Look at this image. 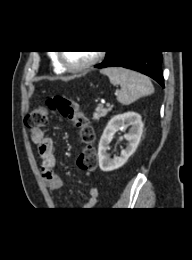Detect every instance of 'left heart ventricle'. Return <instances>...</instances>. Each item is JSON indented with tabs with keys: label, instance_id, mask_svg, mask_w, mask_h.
<instances>
[{
	"label": "left heart ventricle",
	"instance_id": "1",
	"mask_svg": "<svg viewBox=\"0 0 192 260\" xmlns=\"http://www.w3.org/2000/svg\"><path fill=\"white\" fill-rule=\"evenodd\" d=\"M95 55L92 51H66L63 53L65 61L72 66H79L89 61Z\"/></svg>",
	"mask_w": 192,
	"mask_h": 260
}]
</instances>
